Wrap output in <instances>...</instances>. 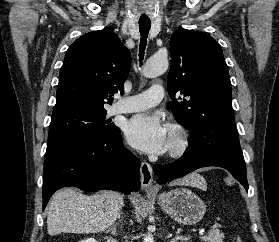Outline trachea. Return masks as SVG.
<instances>
[{
  "label": "trachea",
  "instance_id": "3493384b",
  "mask_svg": "<svg viewBox=\"0 0 279 242\" xmlns=\"http://www.w3.org/2000/svg\"><path fill=\"white\" fill-rule=\"evenodd\" d=\"M151 27V22L149 20H140L139 21V31L141 34L140 38V46H139V61L142 64V60L144 57V51L146 48L147 37Z\"/></svg>",
  "mask_w": 279,
  "mask_h": 242
}]
</instances>
